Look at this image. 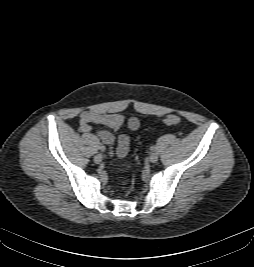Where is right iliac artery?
Here are the masks:
<instances>
[{
	"label": "right iliac artery",
	"mask_w": 254,
	"mask_h": 267,
	"mask_svg": "<svg viewBox=\"0 0 254 267\" xmlns=\"http://www.w3.org/2000/svg\"><path fill=\"white\" fill-rule=\"evenodd\" d=\"M98 149L101 150V151H104V150H105V146L100 145V146L98 147Z\"/></svg>",
	"instance_id": "obj_1"
}]
</instances>
